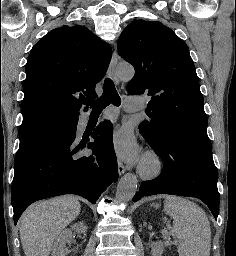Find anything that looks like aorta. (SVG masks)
<instances>
[{"instance_id":"aorta-1","label":"aorta","mask_w":236,"mask_h":256,"mask_svg":"<svg viewBox=\"0 0 236 256\" xmlns=\"http://www.w3.org/2000/svg\"><path fill=\"white\" fill-rule=\"evenodd\" d=\"M117 76L123 81H129L134 76V69L131 65L120 64L117 67ZM137 178L132 173L125 174L117 185L116 198L119 201L131 200L137 191Z\"/></svg>"}]
</instances>
